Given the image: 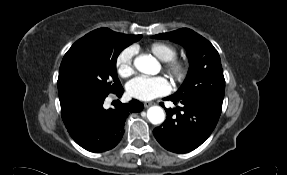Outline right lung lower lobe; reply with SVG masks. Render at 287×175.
I'll return each mask as SVG.
<instances>
[{"label":"right lung lower lobe","instance_id":"obj_1","mask_svg":"<svg viewBox=\"0 0 287 175\" xmlns=\"http://www.w3.org/2000/svg\"><path fill=\"white\" fill-rule=\"evenodd\" d=\"M123 88L115 93L121 97ZM107 96L73 95L60 100L63 122L74 141L91 152H104L114 148L122 139L126 117L140 112L143 104L138 100L120 103L115 109H104Z\"/></svg>","mask_w":287,"mask_h":175}]
</instances>
